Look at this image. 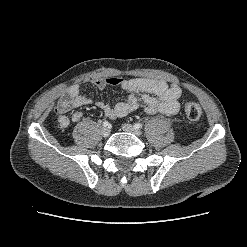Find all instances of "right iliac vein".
Masks as SVG:
<instances>
[{"mask_svg":"<svg viewBox=\"0 0 247 247\" xmlns=\"http://www.w3.org/2000/svg\"><path fill=\"white\" fill-rule=\"evenodd\" d=\"M101 133L104 137H108L110 135V129L108 127H104L102 128Z\"/></svg>","mask_w":247,"mask_h":247,"instance_id":"63e3f726","label":"right iliac vein"}]
</instances>
